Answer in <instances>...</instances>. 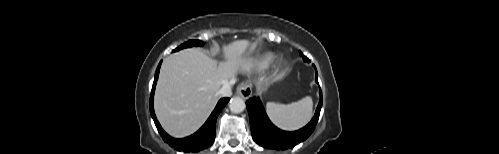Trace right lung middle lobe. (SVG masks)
<instances>
[{
	"label": "right lung middle lobe",
	"instance_id": "1",
	"mask_svg": "<svg viewBox=\"0 0 499 154\" xmlns=\"http://www.w3.org/2000/svg\"><path fill=\"white\" fill-rule=\"evenodd\" d=\"M203 45H204V43L200 40H190V41H187L184 44L180 45L179 47H177L175 50H173V52L178 51V50L183 49V48H187V47L203 46Z\"/></svg>",
	"mask_w": 499,
	"mask_h": 154
}]
</instances>
